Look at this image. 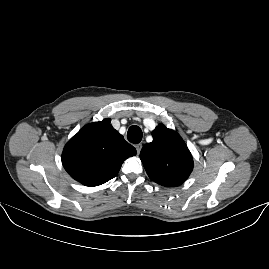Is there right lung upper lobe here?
Listing matches in <instances>:
<instances>
[{
  "instance_id": "right-lung-upper-lobe-1",
  "label": "right lung upper lobe",
  "mask_w": 269,
  "mask_h": 269,
  "mask_svg": "<svg viewBox=\"0 0 269 269\" xmlns=\"http://www.w3.org/2000/svg\"><path fill=\"white\" fill-rule=\"evenodd\" d=\"M110 122L104 119L86 125L64 147L65 170L85 186H98L114 178L122 163L136 155V149Z\"/></svg>"
}]
</instances>
